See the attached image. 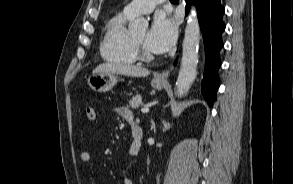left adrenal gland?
<instances>
[{"mask_svg":"<svg viewBox=\"0 0 293 184\" xmlns=\"http://www.w3.org/2000/svg\"><path fill=\"white\" fill-rule=\"evenodd\" d=\"M151 129L155 130V122L151 120Z\"/></svg>","mask_w":293,"mask_h":184,"instance_id":"1","label":"left adrenal gland"}]
</instances>
